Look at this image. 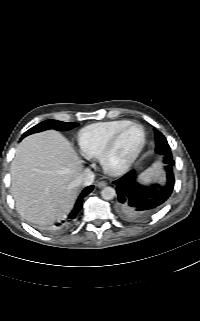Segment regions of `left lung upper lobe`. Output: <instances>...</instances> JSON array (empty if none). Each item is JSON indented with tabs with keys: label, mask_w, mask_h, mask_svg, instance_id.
<instances>
[{
	"label": "left lung upper lobe",
	"mask_w": 200,
	"mask_h": 321,
	"mask_svg": "<svg viewBox=\"0 0 200 321\" xmlns=\"http://www.w3.org/2000/svg\"><path fill=\"white\" fill-rule=\"evenodd\" d=\"M155 135H156V152L164 156L166 152L170 150L168 142L161 132L156 131Z\"/></svg>",
	"instance_id": "1"
}]
</instances>
